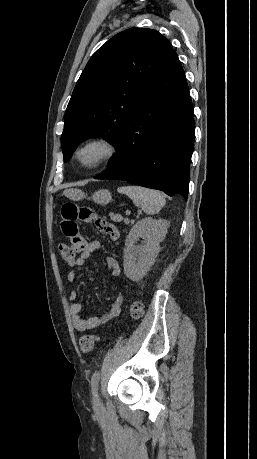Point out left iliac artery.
<instances>
[{"label": "left iliac artery", "mask_w": 257, "mask_h": 459, "mask_svg": "<svg viewBox=\"0 0 257 459\" xmlns=\"http://www.w3.org/2000/svg\"><path fill=\"white\" fill-rule=\"evenodd\" d=\"M99 380H100V372L96 371L91 378V387H92V391L94 394L97 393Z\"/></svg>", "instance_id": "left-iliac-artery-1"}]
</instances>
